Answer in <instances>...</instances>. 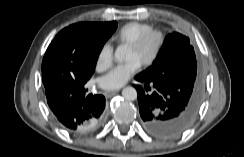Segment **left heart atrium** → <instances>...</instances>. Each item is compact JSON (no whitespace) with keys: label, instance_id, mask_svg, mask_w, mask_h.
Returning <instances> with one entry per match:
<instances>
[{"label":"left heart atrium","instance_id":"left-heart-atrium-1","mask_svg":"<svg viewBox=\"0 0 244 157\" xmlns=\"http://www.w3.org/2000/svg\"><path fill=\"white\" fill-rule=\"evenodd\" d=\"M141 64L132 59L126 63L114 67L101 80V86L105 90H117L123 87L129 79L139 70Z\"/></svg>","mask_w":244,"mask_h":157}]
</instances>
